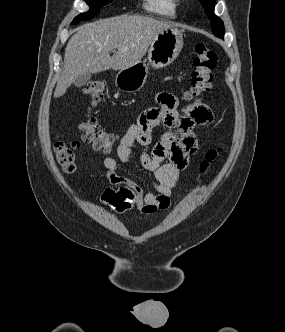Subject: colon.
Segmentation results:
<instances>
[{"label": "colon", "instance_id": "obj_1", "mask_svg": "<svg viewBox=\"0 0 285 332\" xmlns=\"http://www.w3.org/2000/svg\"><path fill=\"white\" fill-rule=\"evenodd\" d=\"M217 63V54L214 50L203 43H198L194 47L193 71L191 74V86L185 93V98L192 99L201 97L211 91L212 71ZM106 82L104 80H94L89 82L84 93L89 97L92 105L99 102L105 93ZM82 139L89 143L95 150L109 152L116 142V136L106 132L97 120L87 114L80 124ZM77 142L66 143L57 141L54 144L56 158L62 169L69 174L76 171V150ZM220 150L212 149L206 154L205 160L201 163V171L205 172L209 165L216 159Z\"/></svg>", "mask_w": 285, "mask_h": 332}]
</instances>
